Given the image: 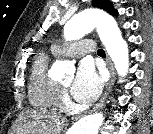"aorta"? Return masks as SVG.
<instances>
[{
  "instance_id": "1",
  "label": "aorta",
  "mask_w": 153,
  "mask_h": 134,
  "mask_svg": "<svg viewBox=\"0 0 153 134\" xmlns=\"http://www.w3.org/2000/svg\"><path fill=\"white\" fill-rule=\"evenodd\" d=\"M97 30L105 49L115 64L120 76H125L129 68V51L126 41L122 38L117 23L110 16L96 9H87L75 14L64 27L66 41L77 40L85 34ZM53 69L63 78L74 71L68 61H56ZM103 114L95 113L80 119L72 127V134H98L103 122Z\"/></svg>"
}]
</instances>
